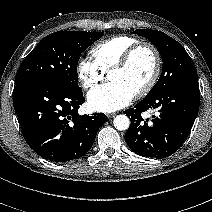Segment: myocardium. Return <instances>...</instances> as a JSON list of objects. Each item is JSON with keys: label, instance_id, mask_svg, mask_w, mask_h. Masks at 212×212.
I'll use <instances>...</instances> for the list:
<instances>
[{"label": "myocardium", "instance_id": "1", "mask_svg": "<svg viewBox=\"0 0 212 212\" xmlns=\"http://www.w3.org/2000/svg\"><path fill=\"white\" fill-rule=\"evenodd\" d=\"M141 50H149L152 53L154 58V70L147 83L135 93L136 98H141L147 95L154 88L160 77L162 69V58L158 49L154 45L143 42L132 46L124 53L120 60L109 69L107 74L109 76V74L113 71H121L126 69L131 64L135 55Z\"/></svg>", "mask_w": 212, "mask_h": 212}]
</instances>
